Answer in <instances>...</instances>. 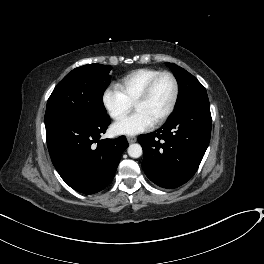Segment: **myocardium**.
<instances>
[{"label":"myocardium","instance_id":"obj_1","mask_svg":"<svg viewBox=\"0 0 264 264\" xmlns=\"http://www.w3.org/2000/svg\"><path fill=\"white\" fill-rule=\"evenodd\" d=\"M162 76H168L171 78L173 85H174V91H173L172 101L168 109L155 122H153V125L155 126L163 124L172 115L177 105V101L179 97V83L175 75L169 71H162L158 73L152 79H150V81L146 84V86L144 87V89L142 90V92L140 93L136 101L134 102V107H135L138 103L145 101L149 97L155 83Z\"/></svg>","mask_w":264,"mask_h":264}]
</instances>
